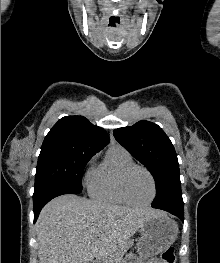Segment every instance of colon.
I'll return each instance as SVG.
<instances>
[{
    "label": "colon",
    "instance_id": "5ec220e1",
    "mask_svg": "<svg viewBox=\"0 0 220 263\" xmlns=\"http://www.w3.org/2000/svg\"><path fill=\"white\" fill-rule=\"evenodd\" d=\"M175 250L172 247L166 248L161 254V263H174Z\"/></svg>",
    "mask_w": 220,
    "mask_h": 263
}]
</instances>
